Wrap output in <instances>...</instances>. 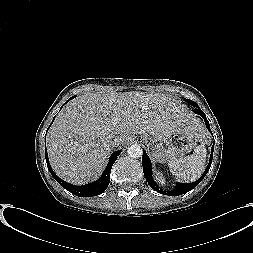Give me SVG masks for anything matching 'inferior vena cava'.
I'll list each match as a JSON object with an SVG mask.
<instances>
[{"instance_id":"obj_1","label":"inferior vena cava","mask_w":253,"mask_h":253,"mask_svg":"<svg viewBox=\"0 0 253 253\" xmlns=\"http://www.w3.org/2000/svg\"><path fill=\"white\" fill-rule=\"evenodd\" d=\"M110 142L115 148H120L122 146V139L118 134H113L110 137Z\"/></svg>"}]
</instances>
